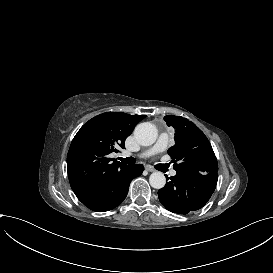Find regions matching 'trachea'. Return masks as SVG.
I'll list each match as a JSON object with an SVG mask.
<instances>
[{
    "label": "trachea",
    "instance_id": "trachea-1",
    "mask_svg": "<svg viewBox=\"0 0 273 273\" xmlns=\"http://www.w3.org/2000/svg\"><path fill=\"white\" fill-rule=\"evenodd\" d=\"M118 160H120L121 162H123L124 164H128V165H134L136 160L133 157H128V158H118Z\"/></svg>",
    "mask_w": 273,
    "mask_h": 273
}]
</instances>
